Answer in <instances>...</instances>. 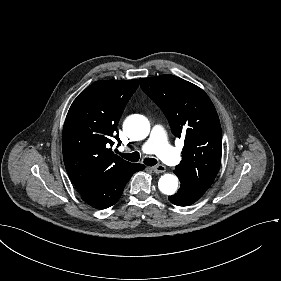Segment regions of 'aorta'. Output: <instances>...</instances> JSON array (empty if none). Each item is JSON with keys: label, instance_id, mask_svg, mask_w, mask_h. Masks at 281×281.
Wrapping results in <instances>:
<instances>
[{"label": "aorta", "instance_id": "obj_1", "mask_svg": "<svg viewBox=\"0 0 281 281\" xmlns=\"http://www.w3.org/2000/svg\"><path fill=\"white\" fill-rule=\"evenodd\" d=\"M124 130L135 140L145 139L150 132V123L141 115L128 118L124 124ZM159 190L166 195H173L178 187V178L174 174H164L158 182Z\"/></svg>", "mask_w": 281, "mask_h": 281}]
</instances>
